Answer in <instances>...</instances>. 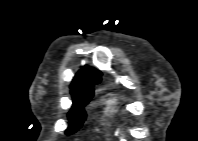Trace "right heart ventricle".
<instances>
[{
	"label": "right heart ventricle",
	"mask_w": 198,
	"mask_h": 141,
	"mask_svg": "<svg viewBox=\"0 0 198 141\" xmlns=\"http://www.w3.org/2000/svg\"><path fill=\"white\" fill-rule=\"evenodd\" d=\"M106 107L108 110H115L117 108V103L115 101V99L113 98H109L107 101H106Z\"/></svg>",
	"instance_id": "1"
}]
</instances>
